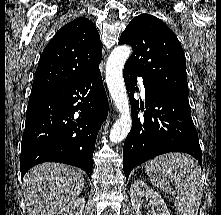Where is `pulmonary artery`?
<instances>
[{
	"label": "pulmonary artery",
	"mask_w": 221,
	"mask_h": 215,
	"mask_svg": "<svg viewBox=\"0 0 221 215\" xmlns=\"http://www.w3.org/2000/svg\"><path fill=\"white\" fill-rule=\"evenodd\" d=\"M140 85H141V90H142V92H144V91H145V88H144V85H143L142 80H140Z\"/></svg>",
	"instance_id": "obj_1"
}]
</instances>
